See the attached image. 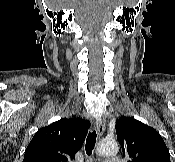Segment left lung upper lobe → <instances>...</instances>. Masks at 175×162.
I'll return each mask as SVG.
<instances>
[{
  "mask_svg": "<svg viewBox=\"0 0 175 162\" xmlns=\"http://www.w3.org/2000/svg\"><path fill=\"white\" fill-rule=\"evenodd\" d=\"M117 139L129 162H170V153L161 135L152 127L122 117L116 121Z\"/></svg>",
  "mask_w": 175,
  "mask_h": 162,
  "instance_id": "obj_1",
  "label": "left lung upper lobe"
}]
</instances>
